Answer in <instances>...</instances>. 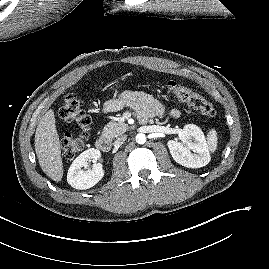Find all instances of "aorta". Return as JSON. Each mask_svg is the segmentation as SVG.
<instances>
[{
    "label": "aorta",
    "mask_w": 269,
    "mask_h": 269,
    "mask_svg": "<svg viewBox=\"0 0 269 269\" xmlns=\"http://www.w3.org/2000/svg\"><path fill=\"white\" fill-rule=\"evenodd\" d=\"M136 142L138 144H144L146 142V136L143 133H139L136 135Z\"/></svg>",
    "instance_id": "1"
}]
</instances>
